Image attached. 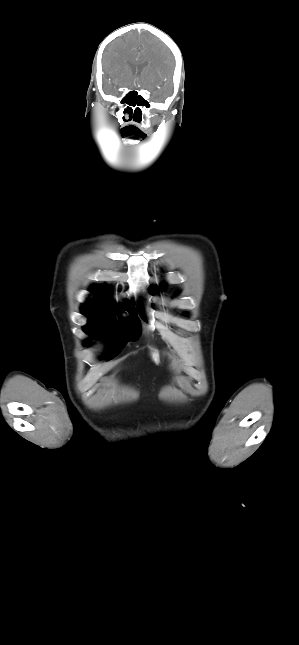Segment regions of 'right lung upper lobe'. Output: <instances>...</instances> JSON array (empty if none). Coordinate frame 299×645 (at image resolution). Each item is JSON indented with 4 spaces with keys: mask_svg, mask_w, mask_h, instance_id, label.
<instances>
[{
    "mask_svg": "<svg viewBox=\"0 0 299 645\" xmlns=\"http://www.w3.org/2000/svg\"><path fill=\"white\" fill-rule=\"evenodd\" d=\"M108 289V288H107ZM91 292L94 293L96 296H101L104 297L105 292L104 290L99 287V286H93L91 288ZM127 306H125L126 308ZM82 311L83 313H108V314H113L115 311H117V305L113 301H108V300H99V301H94V302H86L82 306ZM133 314L135 315L136 310L132 309Z\"/></svg>",
    "mask_w": 299,
    "mask_h": 645,
    "instance_id": "right-lung-upper-lobe-1",
    "label": "right lung upper lobe"
}]
</instances>
